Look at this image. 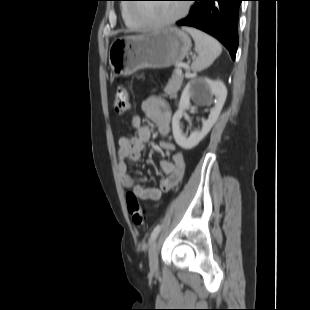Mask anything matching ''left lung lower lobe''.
Segmentation results:
<instances>
[{
  "label": "left lung lower lobe",
  "mask_w": 310,
  "mask_h": 310,
  "mask_svg": "<svg viewBox=\"0 0 310 310\" xmlns=\"http://www.w3.org/2000/svg\"><path fill=\"white\" fill-rule=\"evenodd\" d=\"M195 1L190 14L177 22L179 26L198 28L218 39L229 51L232 59L238 48V16L243 0H191Z\"/></svg>",
  "instance_id": "0a47b994"
}]
</instances>
